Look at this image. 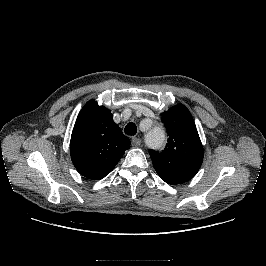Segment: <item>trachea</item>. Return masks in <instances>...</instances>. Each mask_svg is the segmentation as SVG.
Listing matches in <instances>:
<instances>
[{
	"instance_id": "1",
	"label": "trachea",
	"mask_w": 266,
	"mask_h": 266,
	"mask_svg": "<svg viewBox=\"0 0 266 266\" xmlns=\"http://www.w3.org/2000/svg\"><path fill=\"white\" fill-rule=\"evenodd\" d=\"M124 132L129 136H134L137 133V127L134 123L130 122L126 125Z\"/></svg>"
}]
</instances>
